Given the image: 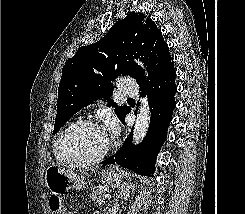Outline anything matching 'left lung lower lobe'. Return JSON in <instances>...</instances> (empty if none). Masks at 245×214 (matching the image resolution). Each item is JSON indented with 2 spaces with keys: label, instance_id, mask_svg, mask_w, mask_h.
Wrapping results in <instances>:
<instances>
[{
  "label": "left lung lower lobe",
  "instance_id": "obj_1",
  "mask_svg": "<svg viewBox=\"0 0 245 214\" xmlns=\"http://www.w3.org/2000/svg\"><path fill=\"white\" fill-rule=\"evenodd\" d=\"M175 76L176 71L171 65L156 81L141 88L142 96H148L151 110V123L147 135L141 144L134 145L131 143L132 133H130L120 150L105 159L102 162L103 165L117 163L139 175L153 176L156 157L166 139L167 129L176 106L174 99L177 91ZM130 111L129 109L126 115Z\"/></svg>",
  "mask_w": 245,
  "mask_h": 214
}]
</instances>
